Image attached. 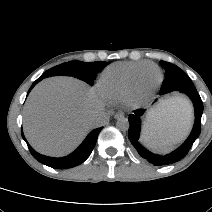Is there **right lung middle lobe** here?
I'll return each instance as SVG.
<instances>
[{
    "mask_svg": "<svg viewBox=\"0 0 212 212\" xmlns=\"http://www.w3.org/2000/svg\"><path fill=\"white\" fill-rule=\"evenodd\" d=\"M107 65V62L101 61L90 63L82 61H70L57 65L43 74L46 77L57 75L73 76L87 82L90 85H93L96 74Z\"/></svg>",
    "mask_w": 212,
    "mask_h": 212,
    "instance_id": "dd1d6c3e",
    "label": "right lung middle lobe"
}]
</instances>
